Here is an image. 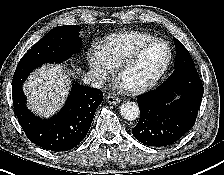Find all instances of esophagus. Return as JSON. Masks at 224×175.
<instances>
[{
  "label": "esophagus",
  "mask_w": 224,
  "mask_h": 175,
  "mask_svg": "<svg viewBox=\"0 0 224 175\" xmlns=\"http://www.w3.org/2000/svg\"><path fill=\"white\" fill-rule=\"evenodd\" d=\"M106 101L109 104L117 105V104H119L120 99L118 97H116V96L109 95V96L106 97Z\"/></svg>",
  "instance_id": "34e87169"
}]
</instances>
